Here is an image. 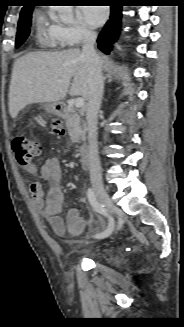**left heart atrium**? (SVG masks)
Masks as SVG:
<instances>
[{"label":"left heart atrium","instance_id":"39dd6f15","mask_svg":"<svg viewBox=\"0 0 184 327\" xmlns=\"http://www.w3.org/2000/svg\"><path fill=\"white\" fill-rule=\"evenodd\" d=\"M81 13L83 19L91 27H98L105 22L108 16V9L106 7H99L98 5H91L83 7Z\"/></svg>","mask_w":184,"mask_h":327}]
</instances>
